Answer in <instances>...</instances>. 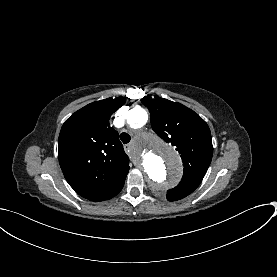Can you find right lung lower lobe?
<instances>
[{"label":"right lung lower lobe","instance_id":"1","mask_svg":"<svg viewBox=\"0 0 277 277\" xmlns=\"http://www.w3.org/2000/svg\"><path fill=\"white\" fill-rule=\"evenodd\" d=\"M71 160L73 161V163L69 165V168H71L72 170H76L77 172H82L85 170H93L85 166L83 163H78L79 155H73V158ZM112 168H113L112 165L104 166L103 168L98 170L97 173L104 178L105 177L109 178L110 175L115 172V171H112Z\"/></svg>","mask_w":277,"mask_h":277}]
</instances>
